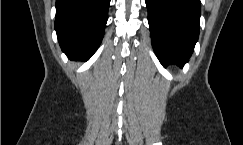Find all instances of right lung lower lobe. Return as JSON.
<instances>
[{
  "label": "right lung lower lobe",
  "instance_id": "1",
  "mask_svg": "<svg viewBox=\"0 0 243 145\" xmlns=\"http://www.w3.org/2000/svg\"><path fill=\"white\" fill-rule=\"evenodd\" d=\"M110 0H56L55 30L63 52L88 60L101 43Z\"/></svg>",
  "mask_w": 243,
  "mask_h": 145
}]
</instances>
